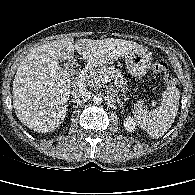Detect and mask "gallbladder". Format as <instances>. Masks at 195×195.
<instances>
[{
  "label": "gallbladder",
  "mask_w": 195,
  "mask_h": 195,
  "mask_svg": "<svg viewBox=\"0 0 195 195\" xmlns=\"http://www.w3.org/2000/svg\"><path fill=\"white\" fill-rule=\"evenodd\" d=\"M60 64L62 67L67 69L69 72H76L78 70V63L75 59L61 60Z\"/></svg>",
  "instance_id": "bac80fb5"
}]
</instances>
